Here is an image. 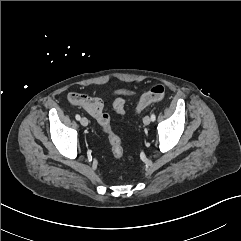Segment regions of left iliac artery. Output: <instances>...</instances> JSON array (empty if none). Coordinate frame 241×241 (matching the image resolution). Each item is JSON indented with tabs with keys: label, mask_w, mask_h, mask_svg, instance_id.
I'll list each match as a JSON object with an SVG mask.
<instances>
[{
	"label": "left iliac artery",
	"mask_w": 241,
	"mask_h": 241,
	"mask_svg": "<svg viewBox=\"0 0 241 241\" xmlns=\"http://www.w3.org/2000/svg\"><path fill=\"white\" fill-rule=\"evenodd\" d=\"M151 120H152V121H155V120H156L155 114H152V115H151Z\"/></svg>",
	"instance_id": "44dca946"
}]
</instances>
